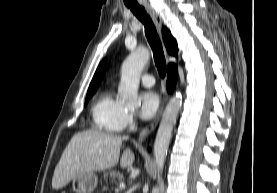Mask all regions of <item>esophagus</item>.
Returning <instances> with one entry per match:
<instances>
[{"label": "esophagus", "mask_w": 277, "mask_h": 193, "mask_svg": "<svg viewBox=\"0 0 277 193\" xmlns=\"http://www.w3.org/2000/svg\"><path fill=\"white\" fill-rule=\"evenodd\" d=\"M144 6H145L148 14L152 18L159 35H161V29H162L161 17L156 13V11L148 3H145ZM167 99H168V95L165 93L163 96V99L161 101V105H160V108H159L156 118L154 119V121L152 123H150L148 126H146L141 131V133L138 137L139 142H143L154 131V129L158 125L161 115L163 113L164 107L166 105Z\"/></svg>", "instance_id": "34e87169"}]
</instances>
